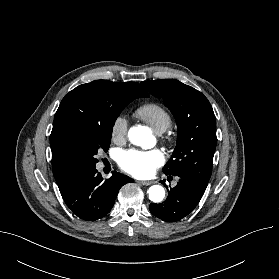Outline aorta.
I'll list each match as a JSON object with an SVG mask.
<instances>
[{
	"label": "aorta",
	"mask_w": 279,
	"mask_h": 279,
	"mask_svg": "<svg viewBox=\"0 0 279 279\" xmlns=\"http://www.w3.org/2000/svg\"><path fill=\"white\" fill-rule=\"evenodd\" d=\"M128 137L134 145L148 148L152 136L146 127L136 126L129 130ZM148 195L151 201L159 203L165 197V190L160 185H153L148 189Z\"/></svg>",
	"instance_id": "obj_1"
}]
</instances>
